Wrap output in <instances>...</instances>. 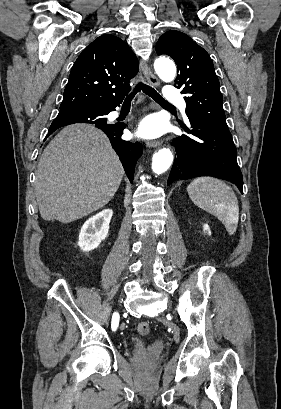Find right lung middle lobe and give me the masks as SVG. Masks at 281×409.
<instances>
[{
  "instance_id": "dd1d6c3e",
  "label": "right lung middle lobe",
  "mask_w": 281,
  "mask_h": 409,
  "mask_svg": "<svg viewBox=\"0 0 281 409\" xmlns=\"http://www.w3.org/2000/svg\"><path fill=\"white\" fill-rule=\"evenodd\" d=\"M74 123H90V120L88 118L57 116V118L52 122V125L50 126L49 130L53 131L59 127Z\"/></svg>"
}]
</instances>
